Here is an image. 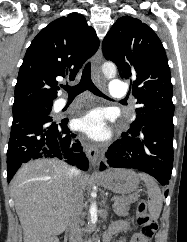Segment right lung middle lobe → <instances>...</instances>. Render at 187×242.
<instances>
[{
    "label": "right lung middle lobe",
    "instance_id": "right-lung-middle-lobe-1",
    "mask_svg": "<svg viewBox=\"0 0 187 242\" xmlns=\"http://www.w3.org/2000/svg\"><path fill=\"white\" fill-rule=\"evenodd\" d=\"M52 104L33 103L13 107V124L24 119L49 116Z\"/></svg>",
    "mask_w": 187,
    "mask_h": 242
}]
</instances>
